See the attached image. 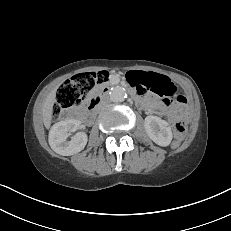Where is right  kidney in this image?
Here are the masks:
<instances>
[{"instance_id": "obj_1", "label": "right kidney", "mask_w": 231, "mask_h": 231, "mask_svg": "<svg viewBox=\"0 0 231 231\" xmlns=\"http://www.w3.org/2000/svg\"><path fill=\"white\" fill-rule=\"evenodd\" d=\"M81 122L75 119L60 121L54 124L49 132V145L54 152L62 156H70L84 149L87 144V134L78 132L71 140L69 133L79 129Z\"/></svg>"}]
</instances>
